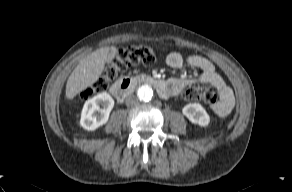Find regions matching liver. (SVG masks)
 I'll list each match as a JSON object with an SVG mask.
<instances>
[{"instance_id": "liver-1", "label": "liver", "mask_w": 292, "mask_h": 192, "mask_svg": "<svg viewBox=\"0 0 292 192\" xmlns=\"http://www.w3.org/2000/svg\"><path fill=\"white\" fill-rule=\"evenodd\" d=\"M109 47H102L82 59L70 74L66 84V98L73 99L78 93L95 83L101 76Z\"/></svg>"}]
</instances>
